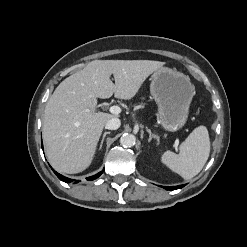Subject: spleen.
Instances as JSON below:
<instances>
[{"instance_id": "obj_1", "label": "spleen", "mask_w": 247, "mask_h": 247, "mask_svg": "<svg viewBox=\"0 0 247 247\" xmlns=\"http://www.w3.org/2000/svg\"><path fill=\"white\" fill-rule=\"evenodd\" d=\"M210 153L209 133L205 126L195 128L180 145V153L166 151L161 161L184 179L196 176L205 165Z\"/></svg>"}]
</instances>
